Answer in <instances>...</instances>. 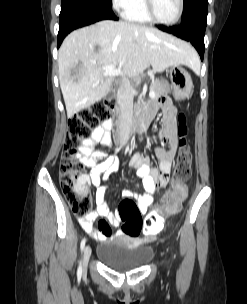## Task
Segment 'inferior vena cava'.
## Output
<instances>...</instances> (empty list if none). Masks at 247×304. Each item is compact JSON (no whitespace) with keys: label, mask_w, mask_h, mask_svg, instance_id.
I'll list each match as a JSON object with an SVG mask.
<instances>
[{"label":"inferior vena cava","mask_w":247,"mask_h":304,"mask_svg":"<svg viewBox=\"0 0 247 304\" xmlns=\"http://www.w3.org/2000/svg\"><path fill=\"white\" fill-rule=\"evenodd\" d=\"M133 98L134 89L129 79L123 77L117 90V102L120 107L119 139L122 145H125L130 138L133 123Z\"/></svg>","instance_id":"602c4592"}]
</instances>
